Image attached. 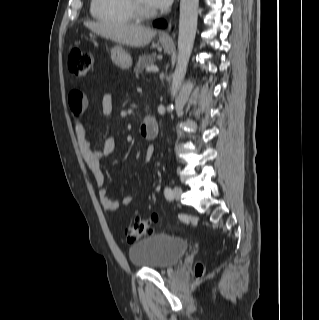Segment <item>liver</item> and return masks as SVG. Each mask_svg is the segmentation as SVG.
I'll return each mask as SVG.
<instances>
[{
    "mask_svg": "<svg viewBox=\"0 0 319 320\" xmlns=\"http://www.w3.org/2000/svg\"><path fill=\"white\" fill-rule=\"evenodd\" d=\"M84 25L98 35L130 47L146 46L156 35L155 30L138 24L84 22Z\"/></svg>",
    "mask_w": 319,
    "mask_h": 320,
    "instance_id": "obj_1",
    "label": "liver"
}]
</instances>
